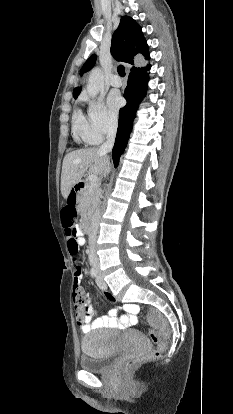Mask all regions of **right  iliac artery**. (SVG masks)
I'll return each mask as SVG.
<instances>
[{
  "label": "right iliac artery",
  "mask_w": 233,
  "mask_h": 414,
  "mask_svg": "<svg viewBox=\"0 0 233 414\" xmlns=\"http://www.w3.org/2000/svg\"><path fill=\"white\" fill-rule=\"evenodd\" d=\"M90 274H91V276H92L93 278H95V277L97 276V271H96V269H95V268H91V270H90Z\"/></svg>",
  "instance_id": "obj_1"
}]
</instances>
